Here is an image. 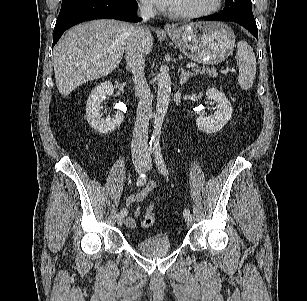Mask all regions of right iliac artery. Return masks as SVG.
I'll return each mask as SVG.
<instances>
[{"label":"right iliac artery","instance_id":"right-iliac-artery-1","mask_svg":"<svg viewBox=\"0 0 307 301\" xmlns=\"http://www.w3.org/2000/svg\"><path fill=\"white\" fill-rule=\"evenodd\" d=\"M152 152H153V147L150 146L146 149L145 159H144L146 166L149 164L151 160ZM146 180H147L146 171H143L137 179V182H136L137 186H143L146 183ZM121 213L126 216L128 214V211L126 208H123L121 209Z\"/></svg>","mask_w":307,"mask_h":301}]
</instances>
